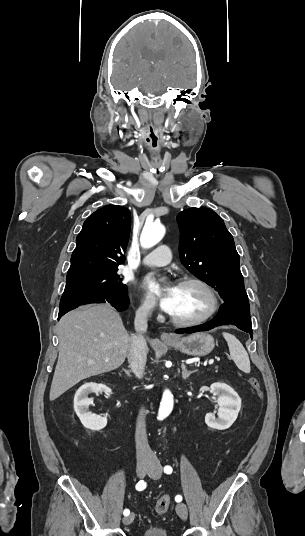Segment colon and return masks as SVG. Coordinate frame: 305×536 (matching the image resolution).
Listing matches in <instances>:
<instances>
[{
  "label": "colon",
  "instance_id": "1",
  "mask_svg": "<svg viewBox=\"0 0 305 536\" xmlns=\"http://www.w3.org/2000/svg\"><path fill=\"white\" fill-rule=\"evenodd\" d=\"M250 386L255 391L256 395L259 398H262L263 392H262V389H261V387H260V385H259V383H258V381L256 379H253V378L250 379ZM170 505H171V497L169 495H167V494L163 495L156 502V504L154 506V512L157 515H163L169 510Z\"/></svg>",
  "mask_w": 305,
  "mask_h": 536
}]
</instances>
